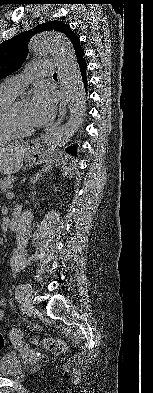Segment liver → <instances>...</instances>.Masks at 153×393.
Wrapping results in <instances>:
<instances>
[{"instance_id": "liver-1", "label": "liver", "mask_w": 153, "mask_h": 393, "mask_svg": "<svg viewBox=\"0 0 153 393\" xmlns=\"http://www.w3.org/2000/svg\"><path fill=\"white\" fill-rule=\"evenodd\" d=\"M26 149L20 145L0 147V173L10 175L18 172L23 166Z\"/></svg>"}]
</instances>
